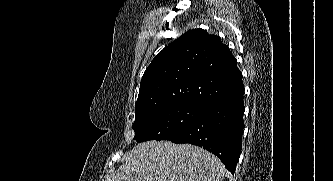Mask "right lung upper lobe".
I'll return each mask as SVG.
<instances>
[{"instance_id":"obj_1","label":"right lung upper lobe","mask_w":333,"mask_h":181,"mask_svg":"<svg viewBox=\"0 0 333 181\" xmlns=\"http://www.w3.org/2000/svg\"><path fill=\"white\" fill-rule=\"evenodd\" d=\"M244 90L237 61L218 36L203 29L184 33L145 70L135 112L167 103L201 106Z\"/></svg>"}]
</instances>
